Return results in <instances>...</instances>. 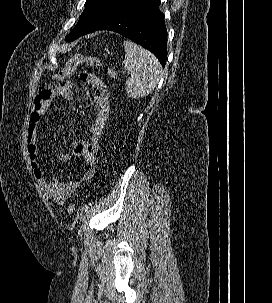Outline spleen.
<instances>
[{
	"label": "spleen",
	"mask_w": 272,
	"mask_h": 303,
	"mask_svg": "<svg viewBox=\"0 0 272 303\" xmlns=\"http://www.w3.org/2000/svg\"><path fill=\"white\" fill-rule=\"evenodd\" d=\"M124 68L130 72L126 80V93L132 99L145 97L153 92L162 77L158 59L146 49L131 41H124Z\"/></svg>",
	"instance_id": "spleen-1"
}]
</instances>
